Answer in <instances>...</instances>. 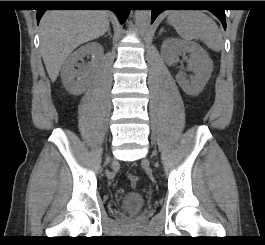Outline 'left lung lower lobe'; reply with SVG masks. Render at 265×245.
Instances as JSON below:
<instances>
[{"label": "left lung lower lobe", "mask_w": 265, "mask_h": 245, "mask_svg": "<svg viewBox=\"0 0 265 245\" xmlns=\"http://www.w3.org/2000/svg\"><path fill=\"white\" fill-rule=\"evenodd\" d=\"M195 5L194 1H156L155 8L152 10V22L157 15L166 10L164 7H189ZM222 23L224 29H226L225 10L221 8L210 9Z\"/></svg>", "instance_id": "1"}]
</instances>
